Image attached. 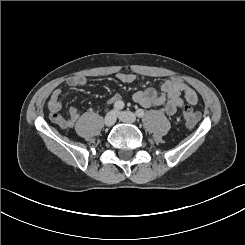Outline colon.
Returning <instances> with one entry per match:
<instances>
[{
	"label": "colon",
	"instance_id": "1",
	"mask_svg": "<svg viewBox=\"0 0 245 245\" xmlns=\"http://www.w3.org/2000/svg\"><path fill=\"white\" fill-rule=\"evenodd\" d=\"M200 119V113L191 106H185L183 109V120L186 126L194 127Z\"/></svg>",
	"mask_w": 245,
	"mask_h": 245
}]
</instances>
